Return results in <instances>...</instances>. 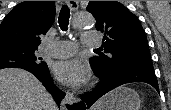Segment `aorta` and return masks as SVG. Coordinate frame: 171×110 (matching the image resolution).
Here are the masks:
<instances>
[{
	"instance_id": "aorta-1",
	"label": "aorta",
	"mask_w": 171,
	"mask_h": 110,
	"mask_svg": "<svg viewBox=\"0 0 171 110\" xmlns=\"http://www.w3.org/2000/svg\"><path fill=\"white\" fill-rule=\"evenodd\" d=\"M95 25L94 17L86 12L77 13L73 19V26L76 29H88Z\"/></svg>"
}]
</instances>
